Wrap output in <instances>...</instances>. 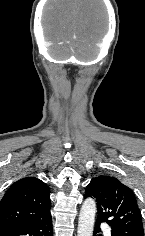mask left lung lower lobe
Returning a JSON list of instances; mask_svg holds the SVG:
<instances>
[{
  "instance_id": "0a47b994",
  "label": "left lung lower lobe",
  "mask_w": 145,
  "mask_h": 236,
  "mask_svg": "<svg viewBox=\"0 0 145 236\" xmlns=\"http://www.w3.org/2000/svg\"><path fill=\"white\" fill-rule=\"evenodd\" d=\"M100 222L99 221H96V226H95V229H94V234L93 236H101L100 234L98 235V232H100Z\"/></svg>"
}]
</instances>
